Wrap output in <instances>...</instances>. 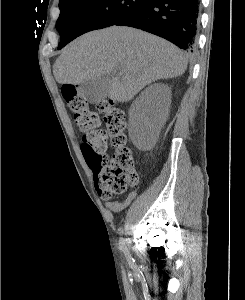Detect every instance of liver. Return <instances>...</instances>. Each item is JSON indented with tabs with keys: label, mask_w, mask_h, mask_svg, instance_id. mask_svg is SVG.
<instances>
[{
	"label": "liver",
	"mask_w": 245,
	"mask_h": 300,
	"mask_svg": "<svg viewBox=\"0 0 245 300\" xmlns=\"http://www.w3.org/2000/svg\"><path fill=\"white\" fill-rule=\"evenodd\" d=\"M187 65L185 54L172 43L131 27L112 26L69 44L56 59L53 74L62 85H80L117 73L108 96L127 102L154 81L181 76Z\"/></svg>",
	"instance_id": "liver-1"
}]
</instances>
